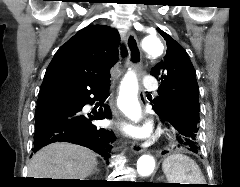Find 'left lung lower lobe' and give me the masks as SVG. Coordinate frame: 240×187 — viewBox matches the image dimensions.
<instances>
[{"label":"left lung lower lobe","mask_w":240,"mask_h":187,"mask_svg":"<svg viewBox=\"0 0 240 187\" xmlns=\"http://www.w3.org/2000/svg\"><path fill=\"white\" fill-rule=\"evenodd\" d=\"M155 112L163 122H167L174 128L178 147L182 146L194 153H198L200 148L197 138L199 127L193 118L169 110L164 112L155 110ZM164 153H166V151H164Z\"/></svg>","instance_id":"0a47b994"}]
</instances>
